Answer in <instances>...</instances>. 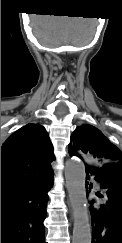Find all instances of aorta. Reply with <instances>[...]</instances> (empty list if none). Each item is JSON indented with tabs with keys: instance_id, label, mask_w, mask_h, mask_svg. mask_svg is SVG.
I'll use <instances>...</instances> for the list:
<instances>
[{
	"instance_id": "obj_1",
	"label": "aorta",
	"mask_w": 122,
	"mask_h": 243,
	"mask_svg": "<svg viewBox=\"0 0 122 243\" xmlns=\"http://www.w3.org/2000/svg\"><path fill=\"white\" fill-rule=\"evenodd\" d=\"M85 177V167L82 162L69 160L66 163V186L74 216L72 243H91V229L86 206Z\"/></svg>"
}]
</instances>
